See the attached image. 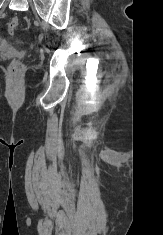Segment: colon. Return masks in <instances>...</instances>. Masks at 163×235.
<instances>
[{"mask_svg":"<svg viewBox=\"0 0 163 235\" xmlns=\"http://www.w3.org/2000/svg\"><path fill=\"white\" fill-rule=\"evenodd\" d=\"M19 26V19L13 17L7 24V29L10 34H13ZM11 73L18 74L21 71V63L19 61H14L11 65Z\"/></svg>","mask_w":163,"mask_h":235,"instance_id":"1","label":"colon"}]
</instances>
